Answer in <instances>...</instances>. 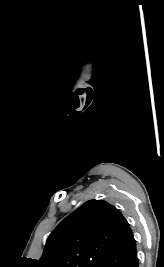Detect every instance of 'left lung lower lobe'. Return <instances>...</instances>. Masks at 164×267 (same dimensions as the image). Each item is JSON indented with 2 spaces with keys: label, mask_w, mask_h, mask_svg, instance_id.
<instances>
[{
  "label": "left lung lower lobe",
  "mask_w": 164,
  "mask_h": 267,
  "mask_svg": "<svg viewBox=\"0 0 164 267\" xmlns=\"http://www.w3.org/2000/svg\"><path fill=\"white\" fill-rule=\"evenodd\" d=\"M99 267H138L136 243L129 225Z\"/></svg>",
  "instance_id": "1"
}]
</instances>
